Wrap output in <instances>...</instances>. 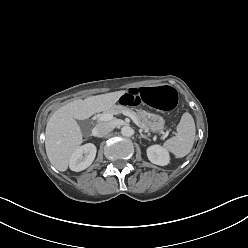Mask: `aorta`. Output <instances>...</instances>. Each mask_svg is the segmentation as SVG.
<instances>
[{
    "label": "aorta",
    "mask_w": 248,
    "mask_h": 248,
    "mask_svg": "<svg viewBox=\"0 0 248 248\" xmlns=\"http://www.w3.org/2000/svg\"><path fill=\"white\" fill-rule=\"evenodd\" d=\"M121 134L125 137H131L134 134V130L130 126H124L121 129Z\"/></svg>",
    "instance_id": "obj_1"
}]
</instances>
